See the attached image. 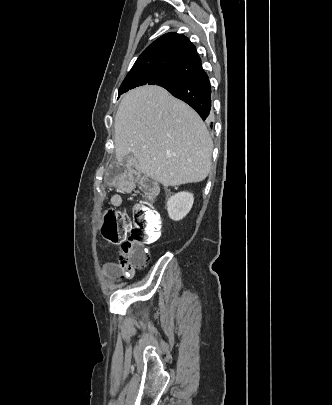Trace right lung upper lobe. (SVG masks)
<instances>
[{
	"mask_svg": "<svg viewBox=\"0 0 332 405\" xmlns=\"http://www.w3.org/2000/svg\"><path fill=\"white\" fill-rule=\"evenodd\" d=\"M145 70H157L186 78L203 68L195 46L186 36L167 33L142 52L130 72Z\"/></svg>",
	"mask_w": 332,
	"mask_h": 405,
	"instance_id": "obj_1",
	"label": "right lung upper lobe"
}]
</instances>
